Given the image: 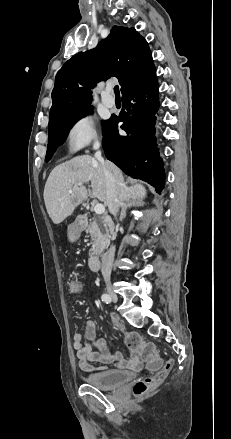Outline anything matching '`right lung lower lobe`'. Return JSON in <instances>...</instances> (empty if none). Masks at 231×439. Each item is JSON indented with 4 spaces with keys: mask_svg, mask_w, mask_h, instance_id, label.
Segmentation results:
<instances>
[{
    "mask_svg": "<svg viewBox=\"0 0 231 439\" xmlns=\"http://www.w3.org/2000/svg\"><path fill=\"white\" fill-rule=\"evenodd\" d=\"M123 109L112 116L104 131L107 159L133 178L144 180L160 194L165 174L155 137V121L160 106L156 72L122 95ZM127 135H119L118 123Z\"/></svg>",
    "mask_w": 231,
    "mask_h": 439,
    "instance_id": "obj_1",
    "label": "right lung lower lobe"
}]
</instances>
